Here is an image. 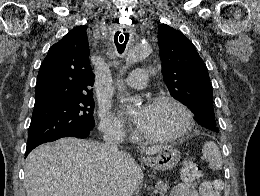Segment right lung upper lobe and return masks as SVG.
<instances>
[{"label":"right lung upper lobe","instance_id":"1","mask_svg":"<svg viewBox=\"0 0 260 196\" xmlns=\"http://www.w3.org/2000/svg\"><path fill=\"white\" fill-rule=\"evenodd\" d=\"M87 27L77 26L48 51L37 77L35 105L71 94L92 93Z\"/></svg>","mask_w":260,"mask_h":196}]
</instances>
